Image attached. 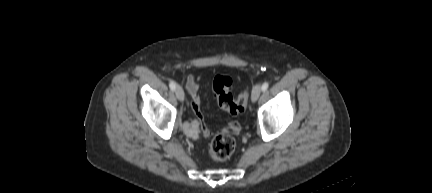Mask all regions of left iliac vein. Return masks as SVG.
Wrapping results in <instances>:
<instances>
[{
    "instance_id": "obj_1",
    "label": "left iliac vein",
    "mask_w": 432,
    "mask_h": 193,
    "mask_svg": "<svg viewBox=\"0 0 432 193\" xmlns=\"http://www.w3.org/2000/svg\"><path fill=\"white\" fill-rule=\"evenodd\" d=\"M261 94V86L259 84L255 85L252 90L251 100L256 102Z\"/></svg>"
}]
</instances>
